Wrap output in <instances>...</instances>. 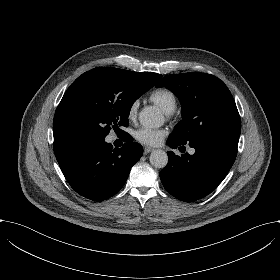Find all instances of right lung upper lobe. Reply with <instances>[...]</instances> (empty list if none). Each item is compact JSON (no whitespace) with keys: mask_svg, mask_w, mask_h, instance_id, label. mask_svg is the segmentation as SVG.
Instances as JSON below:
<instances>
[{"mask_svg":"<svg viewBox=\"0 0 280 280\" xmlns=\"http://www.w3.org/2000/svg\"><path fill=\"white\" fill-rule=\"evenodd\" d=\"M123 71L126 77L132 82V84L145 91L153 87L162 77V75L160 74L151 72H133L127 70ZM53 135L54 150L58 149L62 145L77 140V138H75L73 135L59 128L55 120L53 121Z\"/></svg>","mask_w":280,"mask_h":280,"instance_id":"1","label":"right lung upper lobe"}]
</instances>
